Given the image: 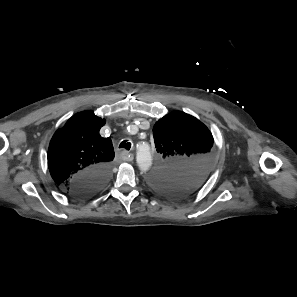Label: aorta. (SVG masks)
I'll list each match as a JSON object with an SVG mask.
<instances>
[{"instance_id": "762f6f07", "label": "aorta", "mask_w": 297, "mask_h": 297, "mask_svg": "<svg viewBox=\"0 0 297 297\" xmlns=\"http://www.w3.org/2000/svg\"><path fill=\"white\" fill-rule=\"evenodd\" d=\"M137 164L142 172H148L152 165V156L149 149H138Z\"/></svg>"}]
</instances>
